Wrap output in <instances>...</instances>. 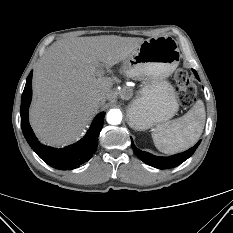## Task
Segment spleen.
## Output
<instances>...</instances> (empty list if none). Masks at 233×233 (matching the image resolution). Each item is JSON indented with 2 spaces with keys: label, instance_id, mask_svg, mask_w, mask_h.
<instances>
[{
  "label": "spleen",
  "instance_id": "obj_1",
  "mask_svg": "<svg viewBox=\"0 0 233 233\" xmlns=\"http://www.w3.org/2000/svg\"><path fill=\"white\" fill-rule=\"evenodd\" d=\"M206 113L202 100L182 117L158 125L152 130V138L156 148L165 154H173L187 150L200 138Z\"/></svg>",
  "mask_w": 233,
  "mask_h": 233
}]
</instances>
